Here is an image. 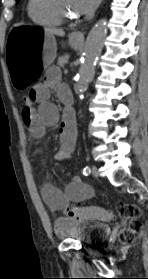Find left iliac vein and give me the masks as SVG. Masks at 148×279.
<instances>
[{
    "mask_svg": "<svg viewBox=\"0 0 148 279\" xmlns=\"http://www.w3.org/2000/svg\"><path fill=\"white\" fill-rule=\"evenodd\" d=\"M91 171H92L93 176L96 177V178H98V176H99V170H98V168H97L96 166H92Z\"/></svg>",
    "mask_w": 148,
    "mask_h": 279,
    "instance_id": "left-iliac-vein-1",
    "label": "left iliac vein"
}]
</instances>
